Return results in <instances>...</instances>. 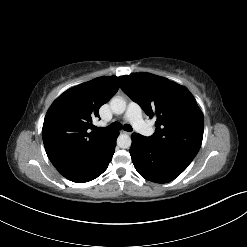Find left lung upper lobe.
Returning a JSON list of instances; mask_svg holds the SVG:
<instances>
[{
  "label": "left lung upper lobe",
  "instance_id": "5c2ea615",
  "mask_svg": "<svg viewBox=\"0 0 247 247\" xmlns=\"http://www.w3.org/2000/svg\"><path fill=\"white\" fill-rule=\"evenodd\" d=\"M119 80L123 92L150 118H156L149 141L163 152L191 162L202 143L204 118L190 92L149 73H133Z\"/></svg>",
  "mask_w": 247,
  "mask_h": 247
}]
</instances>
